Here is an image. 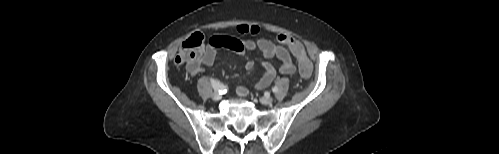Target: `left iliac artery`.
<instances>
[{
    "mask_svg": "<svg viewBox=\"0 0 499 154\" xmlns=\"http://www.w3.org/2000/svg\"><path fill=\"white\" fill-rule=\"evenodd\" d=\"M272 91H273L274 93H277V92H278V88H277V87H273V88H272Z\"/></svg>",
    "mask_w": 499,
    "mask_h": 154,
    "instance_id": "left-iliac-artery-1",
    "label": "left iliac artery"
}]
</instances>
